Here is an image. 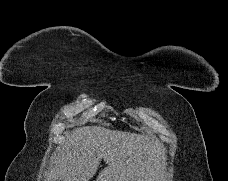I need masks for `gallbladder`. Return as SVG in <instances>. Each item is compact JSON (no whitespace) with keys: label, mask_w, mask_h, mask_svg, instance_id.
Returning a JSON list of instances; mask_svg holds the SVG:
<instances>
[{"label":"gallbladder","mask_w":228,"mask_h":181,"mask_svg":"<svg viewBox=\"0 0 228 181\" xmlns=\"http://www.w3.org/2000/svg\"><path fill=\"white\" fill-rule=\"evenodd\" d=\"M57 181H62V179H57Z\"/></svg>","instance_id":"1"}]
</instances>
